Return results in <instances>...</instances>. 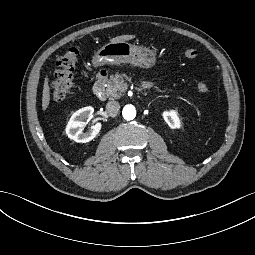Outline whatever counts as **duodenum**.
I'll use <instances>...</instances> for the list:
<instances>
[{
	"mask_svg": "<svg viewBox=\"0 0 255 255\" xmlns=\"http://www.w3.org/2000/svg\"><path fill=\"white\" fill-rule=\"evenodd\" d=\"M107 81V72L105 70L100 71L96 76V81L93 86L94 95L103 100L106 95L105 86Z\"/></svg>",
	"mask_w": 255,
	"mask_h": 255,
	"instance_id": "1",
	"label": "duodenum"
}]
</instances>
